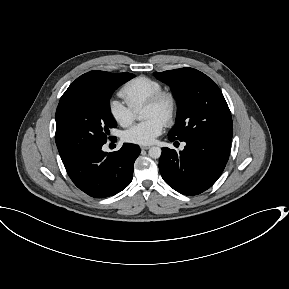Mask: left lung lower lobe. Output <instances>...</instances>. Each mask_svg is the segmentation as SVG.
<instances>
[{
  "label": "left lung lower lobe",
  "mask_w": 289,
  "mask_h": 289,
  "mask_svg": "<svg viewBox=\"0 0 289 289\" xmlns=\"http://www.w3.org/2000/svg\"><path fill=\"white\" fill-rule=\"evenodd\" d=\"M184 142L186 146L179 153L162 148L159 169L171 188L184 195H197L210 188L221 175L229 158L230 142L204 138Z\"/></svg>",
  "instance_id": "obj_1"
}]
</instances>
